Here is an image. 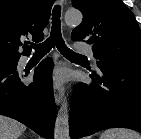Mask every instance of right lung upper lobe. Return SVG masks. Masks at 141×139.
Instances as JSON below:
<instances>
[{
  "mask_svg": "<svg viewBox=\"0 0 141 139\" xmlns=\"http://www.w3.org/2000/svg\"><path fill=\"white\" fill-rule=\"evenodd\" d=\"M55 0H0V57L18 58V47L27 36L41 41ZM26 46L23 55L30 54Z\"/></svg>",
  "mask_w": 141,
  "mask_h": 139,
  "instance_id": "cb5924a9",
  "label": "right lung upper lobe"
}]
</instances>
